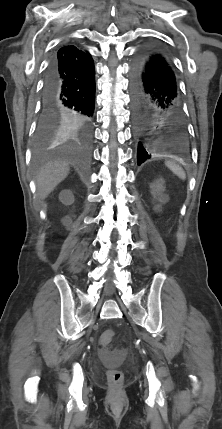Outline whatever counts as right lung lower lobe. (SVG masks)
I'll list each match as a JSON object with an SVG mask.
<instances>
[{"instance_id":"1","label":"right lung lower lobe","mask_w":222,"mask_h":429,"mask_svg":"<svg viewBox=\"0 0 222 429\" xmlns=\"http://www.w3.org/2000/svg\"><path fill=\"white\" fill-rule=\"evenodd\" d=\"M95 104V70L91 56L64 46L47 67L38 127L77 130L87 135Z\"/></svg>"}]
</instances>
